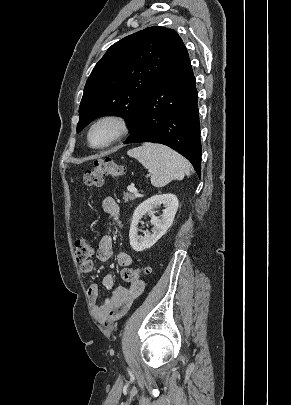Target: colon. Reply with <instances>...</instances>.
<instances>
[{
	"label": "colon",
	"mask_w": 291,
	"mask_h": 405,
	"mask_svg": "<svg viewBox=\"0 0 291 405\" xmlns=\"http://www.w3.org/2000/svg\"><path fill=\"white\" fill-rule=\"evenodd\" d=\"M125 170L123 165H119L109 158L98 160L92 169L84 173L83 181L89 187H99L103 183L104 176L119 177L125 173ZM75 254L77 262H86L93 255V246L87 239L79 238L75 241ZM148 273V267L138 269L127 268L122 271L121 275L125 282L132 284Z\"/></svg>",
	"instance_id": "5ec220e1"
}]
</instances>
